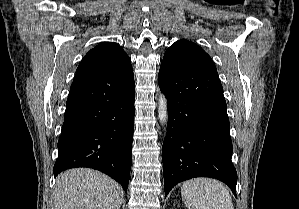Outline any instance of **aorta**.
Returning a JSON list of instances; mask_svg holds the SVG:
<instances>
[{
    "mask_svg": "<svg viewBox=\"0 0 299 209\" xmlns=\"http://www.w3.org/2000/svg\"><path fill=\"white\" fill-rule=\"evenodd\" d=\"M158 118L163 124L168 121L167 99L163 94H160L158 99Z\"/></svg>",
    "mask_w": 299,
    "mask_h": 209,
    "instance_id": "obj_1",
    "label": "aorta"
}]
</instances>
